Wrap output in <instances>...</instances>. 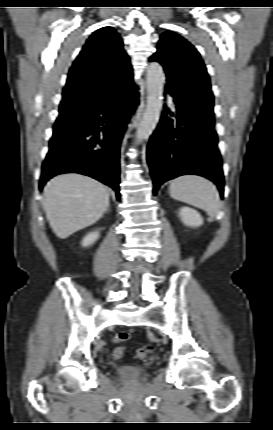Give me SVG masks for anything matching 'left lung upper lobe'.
Segmentation results:
<instances>
[{
  "instance_id": "1",
  "label": "left lung upper lobe",
  "mask_w": 273,
  "mask_h": 430,
  "mask_svg": "<svg viewBox=\"0 0 273 430\" xmlns=\"http://www.w3.org/2000/svg\"><path fill=\"white\" fill-rule=\"evenodd\" d=\"M150 61L166 73V91L200 117L214 120V97L209 76L198 51L180 35L166 31Z\"/></svg>"
}]
</instances>
